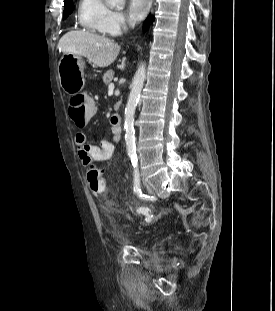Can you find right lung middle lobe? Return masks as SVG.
<instances>
[{
	"instance_id": "right-lung-middle-lobe-1",
	"label": "right lung middle lobe",
	"mask_w": 275,
	"mask_h": 311,
	"mask_svg": "<svg viewBox=\"0 0 275 311\" xmlns=\"http://www.w3.org/2000/svg\"><path fill=\"white\" fill-rule=\"evenodd\" d=\"M73 11L72 0H65L64 3V18H66Z\"/></svg>"
}]
</instances>
